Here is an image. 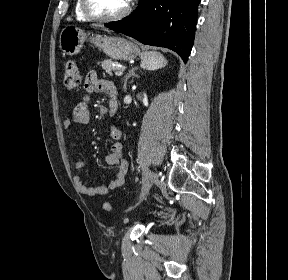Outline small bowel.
<instances>
[{"label":"small bowel","mask_w":288,"mask_h":280,"mask_svg":"<svg viewBox=\"0 0 288 280\" xmlns=\"http://www.w3.org/2000/svg\"><path fill=\"white\" fill-rule=\"evenodd\" d=\"M84 89L86 96L74 107L69 119H65L62 123L65 130H70L76 125H86L90 120L89 100L90 95L98 92H106L110 98L116 97L114 87L106 81L99 79L96 71H90L84 81ZM109 134L112 139L111 150L106 155L105 161L108 165L117 168L115 177L107 184L96 187L88 186L84 183L81 176L74 177V183L78 191L87 196H103L110 191L121 187L127 177L128 163L124 156V147L121 143L122 132L116 125H110ZM86 166L85 160H77L75 168L80 170Z\"/></svg>","instance_id":"small-bowel-1"}]
</instances>
